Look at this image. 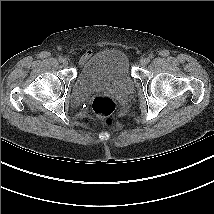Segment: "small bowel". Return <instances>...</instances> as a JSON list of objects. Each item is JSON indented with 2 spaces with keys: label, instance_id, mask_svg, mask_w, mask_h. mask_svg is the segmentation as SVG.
<instances>
[{
  "label": "small bowel",
  "instance_id": "obj_1",
  "mask_svg": "<svg viewBox=\"0 0 214 214\" xmlns=\"http://www.w3.org/2000/svg\"><path fill=\"white\" fill-rule=\"evenodd\" d=\"M93 53L91 49L86 50L81 56H80V64H84L88 59L92 57Z\"/></svg>",
  "mask_w": 214,
  "mask_h": 214
}]
</instances>
